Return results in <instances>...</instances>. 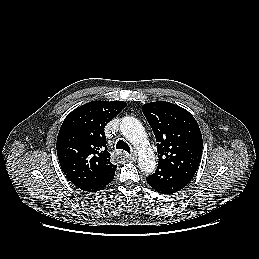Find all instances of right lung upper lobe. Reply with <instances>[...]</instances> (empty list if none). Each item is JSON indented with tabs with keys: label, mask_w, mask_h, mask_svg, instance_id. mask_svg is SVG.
<instances>
[{
	"label": "right lung upper lobe",
	"mask_w": 259,
	"mask_h": 259,
	"mask_svg": "<svg viewBox=\"0 0 259 259\" xmlns=\"http://www.w3.org/2000/svg\"><path fill=\"white\" fill-rule=\"evenodd\" d=\"M126 105L124 101H92L63 121L57 156L64 174L76 187L93 184L116 170L110 162L104 128Z\"/></svg>",
	"instance_id": "obj_1"
}]
</instances>
